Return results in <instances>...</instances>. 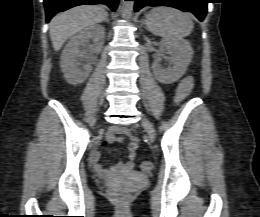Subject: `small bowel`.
Masks as SVG:
<instances>
[{
    "label": "small bowel",
    "instance_id": "small-bowel-1",
    "mask_svg": "<svg viewBox=\"0 0 260 217\" xmlns=\"http://www.w3.org/2000/svg\"><path fill=\"white\" fill-rule=\"evenodd\" d=\"M191 88L192 78L190 76H185L178 84L177 99L181 100L186 95H188ZM122 136H129L131 138V141L128 145V157L126 160L120 161L116 165H114L111 170H107L100 165V152L98 150H95L91 153L90 161L92 163L94 171L99 177L110 178L115 174H126L134 170V158L136 150L138 148V140L131 135L130 130L128 128H113L111 133L106 137V139L101 142L100 146L104 147L109 143L121 142L123 139Z\"/></svg>",
    "mask_w": 260,
    "mask_h": 217
}]
</instances>
